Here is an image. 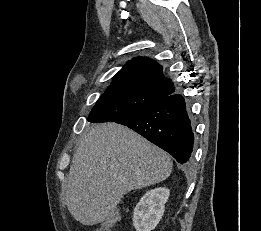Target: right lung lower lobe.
<instances>
[{"label":"right lung lower lobe","instance_id":"98d812e1","mask_svg":"<svg viewBox=\"0 0 261 231\" xmlns=\"http://www.w3.org/2000/svg\"><path fill=\"white\" fill-rule=\"evenodd\" d=\"M150 142L188 165L194 144V127L189 108L180 94L169 95L145 110L119 120Z\"/></svg>","mask_w":261,"mask_h":231}]
</instances>
